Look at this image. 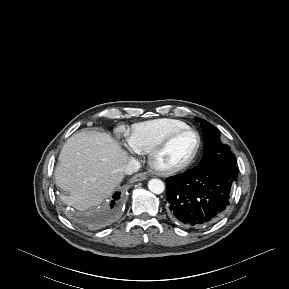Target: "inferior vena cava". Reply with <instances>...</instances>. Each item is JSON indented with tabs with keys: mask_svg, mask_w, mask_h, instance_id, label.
Returning a JSON list of instances; mask_svg holds the SVG:
<instances>
[{
	"mask_svg": "<svg viewBox=\"0 0 289 289\" xmlns=\"http://www.w3.org/2000/svg\"><path fill=\"white\" fill-rule=\"evenodd\" d=\"M140 163L134 158H129L128 162L122 168V172L125 174H132L140 169Z\"/></svg>",
	"mask_w": 289,
	"mask_h": 289,
	"instance_id": "1",
	"label": "inferior vena cava"
}]
</instances>
